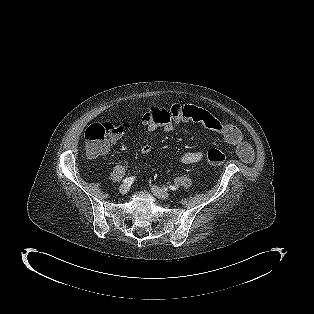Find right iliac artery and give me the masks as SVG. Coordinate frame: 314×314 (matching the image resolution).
Returning a JSON list of instances; mask_svg holds the SVG:
<instances>
[{"mask_svg": "<svg viewBox=\"0 0 314 314\" xmlns=\"http://www.w3.org/2000/svg\"><path fill=\"white\" fill-rule=\"evenodd\" d=\"M135 177H129V178H125L123 180V183H128V184H131L133 181H134Z\"/></svg>", "mask_w": 314, "mask_h": 314, "instance_id": "obj_1", "label": "right iliac artery"}]
</instances>
